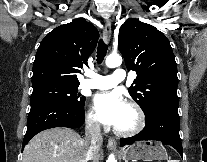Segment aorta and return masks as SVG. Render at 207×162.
Returning a JSON list of instances; mask_svg holds the SVG:
<instances>
[{"label": "aorta", "mask_w": 207, "mask_h": 162, "mask_svg": "<svg viewBox=\"0 0 207 162\" xmlns=\"http://www.w3.org/2000/svg\"><path fill=\"white\" fill-rule=\"evenodd\" d=\"M122 63V58L118 54H110L105 61V64L109 68H115L120 66ZM107 162H115V156L113 154H110L108 157Z\"/></svg>", "instance_id": "aorta-1"}]
</instances>
